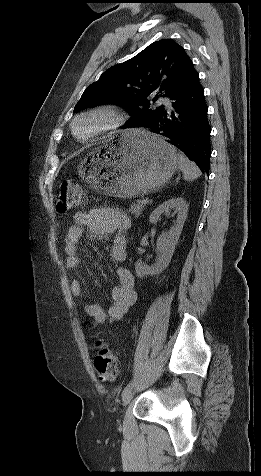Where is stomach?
Returning a JSON list of instances; mask_svg holds the SVG:
<instances>
[{
	"label": "stomach",
	"instance_id": "obj_1",
	"mask_svg": "<svg viewBox=\"0 0 261 476\" xmlns=\"http://www.w3.org/2000/svg\"><path fill=\"white\" fill-rule=\"evenodd\" d=\"M177 167L176 151L163 138L145 130H130L91 151L78 172L105 194L133 198L163 187Z\"/></svg>",
	"mask_w": 261,
	"mask_h": 476
}]
</instances>
